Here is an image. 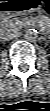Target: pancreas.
<instances>
[{"instance_id": "cf45deb5", "label": "pancreas", "mask_w": 50, "mask_h": 111, "mask_svg": "<svg viewBox=\"0 0 50 111\" xmlns=\"http://www.w3.org/2000/svg\"><path fill=\"white\" fill-rule=\"evenodd\" d=\"M27 20H19L18 18H13L10 20H7L3 23V27L5 28H20L25 25Z\"/></svg>"}]
</instances>
